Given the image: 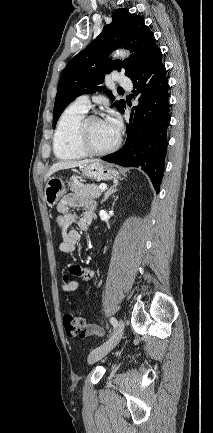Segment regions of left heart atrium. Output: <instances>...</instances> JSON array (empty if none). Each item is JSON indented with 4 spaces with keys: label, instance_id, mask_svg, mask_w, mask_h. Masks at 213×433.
I'll use <instances>...</instances> for the list:
<instances>
[{
    "label": "left heart atrium",
    "instance_id": "obj_1",
    "mask_svg": "<svg viewBox=\"0 0 213 433\" xmlns=\"http://www.w3.org/2000/svg\"><path fill=\"white\" fill-rule=\"evenodd\" d=\"M117 134L120 131V122L114 113H111L104 120Z\"/></svg>",
    "mask_w": 213,
    "mask_h": 433
}]
</instances>
